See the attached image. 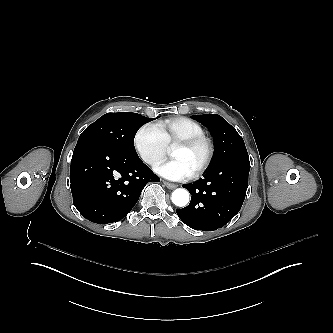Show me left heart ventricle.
<instances>
[{
	"label": "left heart ventricle",
	"mask_w": 333,
	"mask_h": 333,
	"mask_svg": "<svg viewBox=\"0 0 333 333\" xmlns=\"http://www.w3.org/2000/svg\"><path fill=\"white\" fill-rule=\"evenodd\" d=\"M203 155H204V150L201 148L189 149L181 145H178V147L175 150H173L170 154V156L173 159L185 163L188 167H190L193 170V172H195L196 168L200 164Z\"/></svg>",
	"instance_id": "obj_1"
}]
</instances>
